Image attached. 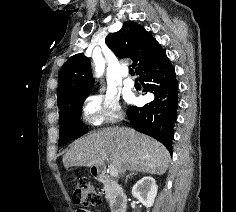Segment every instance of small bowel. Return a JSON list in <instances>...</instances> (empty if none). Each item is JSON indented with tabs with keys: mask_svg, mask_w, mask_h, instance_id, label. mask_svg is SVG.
Segmentation results:
<instances>
[{
	"mask_svg": "<svg viewBox=\"0 0 236 212\" xmlns=\"http://www.w3.org/2000/svg\"><path fill=\"white\" fill-rule=\"evenodd\" d=\"M77 212H92L90 209H77Z\"/></svg>",
	"mask_w": 236,
	"mask_h": 212,
	"instance_id": "small-bowel-1",
	"label": "small bowel"
}]
</instances>
